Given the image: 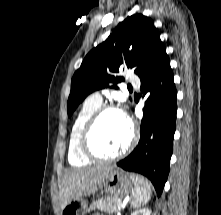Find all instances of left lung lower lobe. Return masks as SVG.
Listing matches in <instances>:
<instances>
[{
    "label": "left lung lower lobe",
    "instance_id": "1",
    "mask_svg": "<svg viewBox=\"0 0 221 215\" xmlns=\"http://www.w3.org/2000/svg\"><path fill=\"white\" fill-rule=\"evenodd\" d=\"M141 92L149 93L137 147L117 165L151 180L160 196L170 170L176 128L177 91L166 48H162L140 76Z\"/></svg>",
    "mask_w": 221,
    "mask_h": 215
}]
</instances>
